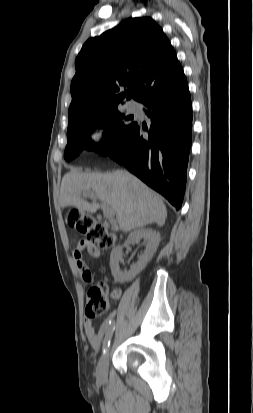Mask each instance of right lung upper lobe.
<instances>
[{"label": "right lung upper lobe", "mask_w": 253, "mask_h": 413, "mask_svg": "<svg viewBox=\"0 0 253 413\" xmlns=\"http://www.w3.org/2000/svg\"><path fill=\"white\" fill-rule=\"evenodd\" d=\"M75 68L69 121L131 97L144 104L187 87L173 47L150 17L126 19L88 39Z\"/></svg>", "instance_id": "right-lung-upper-lobe-1"}]
</instances>
